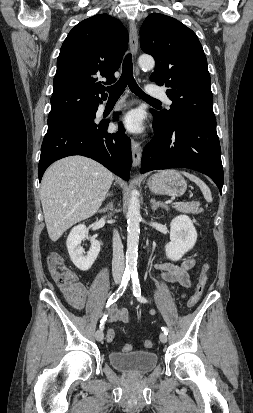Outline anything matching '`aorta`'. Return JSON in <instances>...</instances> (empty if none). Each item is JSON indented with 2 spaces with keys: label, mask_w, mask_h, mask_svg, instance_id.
I'll list each match as a JSON object with an SVG mask.
<instances>
[{
  "label": "aorta",
  "mask_w": 253,
  "mask_h": 413,
  "mask_svg": "<svg viewBox=\"0 0 253 413\" xmlns=\"http://www.w3.org/2000/svg\"><path fill=\"white\" fill-rule=\"evenodd\" d=\"M138 63L141 69L151 70L155 66V61L150 55H141L138 59ZM139 192L133 190L128 205L127 212V251H126V271L135 272L137 270V257H138V243L141 220L140 215V202Z\"/></svg>",
  "instance_id": "obj_1"
}]
</instances>
